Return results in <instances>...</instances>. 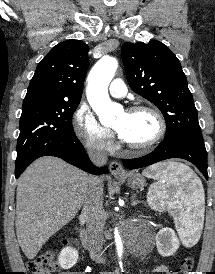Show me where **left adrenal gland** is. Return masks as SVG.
I'll use <instances>...</instances> for the list:
<instances>
[{"mask_svg":"<svg viewBox=\"0 0 215 274\" xmlns=\"http://www.w3.org/2000/svg\"><path fill=\"white\" fill-rule=\"evenodd\" d=\"M138 203H140V201H138V200L136 199V195H135V194L132 195L131 205H132V206H135V205H137Z\"/></svg>","mask_w":215,"mask_h":274,"instance_id":"1","label":"left adrenal gland"}]
</instances>
